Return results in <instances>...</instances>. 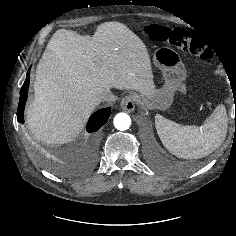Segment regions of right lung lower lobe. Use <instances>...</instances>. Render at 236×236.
Here are the masks:
<instances>
[{
	"mask_svg": "<svg viewBox=\"0 0 236 236\" xmlns=\"http://www.w3.org/2000/svg\"><path fill=\"white\" fill-rule=\"evenodd\" d=\"M29 70L27 72L26 80H25L23 86L21 87V91H20V99H19V105H18V110H17V120L20 123H24V106L26 103L28 86H29V75H30ZM110 111H111L110 107L104 108V109H101V110L95 112L89 118V121H88L87 127H86L87 132L90 134L87 139L88 144L93 143V138H94L95 132L98 129H100L107 122V120L110 116Z\"/></svg>",
	"mask_w": 236,
	"mask_h": 236,
	"instance_id": "1",
	"label": "right lung lower lobe"
}]
</instances>
